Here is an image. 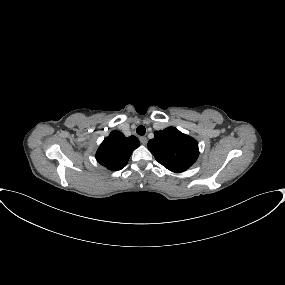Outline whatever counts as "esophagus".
Segmentation results:
<instances>
[{
	"instance_id": "esophagus-1",
	"label": "esophagus",
	"mask_w": 285,
	"mask_h": 285,
	"mask_svg": "<svg viewBox=\"0 0 285 285\" xmlns=\"http://www.w3.org/2000/svg\"><path fill=\"white\" fill-rule=\"evenodd\" d=\"M139 140H140V142H141L143 145H145V144L147 143V138H146L145 136H141V137L139 138Z\"/></svg>"
}]
</instances>
